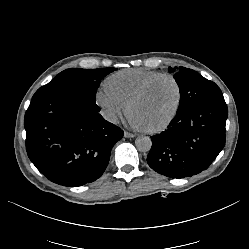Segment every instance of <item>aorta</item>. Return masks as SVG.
I'll use <instances>...</instances> for the list:
<instances>
[{
  "mask_svg": "<svg viewBox=\"0 0 249 249\" xmlns=\"http://www.w3.org/2000/svg\"><path fill=\"white\" fill-rule=\"evenodd\" d=\"M137 149L141 152H148L152 147V141L148 136H139L135 140Z\"/></svg>",
  "mask_w": 249,
  "mask_h": 249,
  "instance_id": "obj_1",
  "label": "aorta"
}]
</instances>
